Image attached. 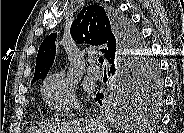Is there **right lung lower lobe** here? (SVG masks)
<instances>
[{
    "label": "right lung lower lobe",
    "instance_id": "obj_1",
    "mask_svg": "<svg viewBox=\"0 0 184 133\" xmlns=\"http://www.w3.org/2000/svg\"><path fill=\"white\" fill-rule=\"evenodd\" d=\"M111 19L113 23L114 30L116 35L118 36L119 47L116 55L117 69L114 66V57L109 61L111 66V73L116 71V74L119 78L118 86L119 90V97L124 95L127 86V80L129 79L131 72L133 71L134 67V50L138 49V45L135 44L134 38L131 36V32L127 25L125 24V20L123 17L116 11L111 12ZM148 56V53H146ZM102 93H98L96 95L95 101H98L100 105H102Z\"/></svg>",
    "mask_w": 184,
    "mask_h": 133
}]
</instances>
